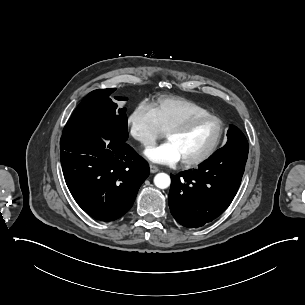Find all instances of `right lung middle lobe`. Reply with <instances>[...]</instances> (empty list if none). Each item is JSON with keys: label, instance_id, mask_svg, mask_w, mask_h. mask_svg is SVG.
<instances>
[{"label": "right lung middle lobe", "instance_id": "dd1d6c3e", "mask_svg": "<svg viewBox=\"0 0 305 305\" xmlns=\"http://www.w3.org/2000/svg\"><path fill=\"white\" fill-rule=\"evenodd\" d=\"M116 89H98L90 92L78 105L65 125L62 137L76 134H93L121 141L128 139L125 109L117 105L110 95ZM117 100H127L115 97Z\"/></svg>", "mask_w": 305, "mask_h": 305}]
</instances>
